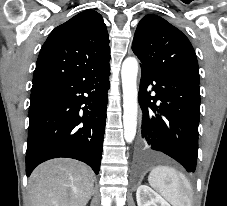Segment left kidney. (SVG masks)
I'll return each mask as SVG.
<instances>
[{
  "label": "left kidney",
  "mask_w": 227,
  "mask_h": 206,
  "mask_svg": "<svg viewBox=\"0 0 227 206\" xmlns=\"http://www.w3.org/2000/svg\"><path fill=\"white\" fill-rule=\"evenodd\" d=\"M138 206H170L158 193L147 185H140L136 193Z\"/></svg>",
  "instance_id": "5707ae66"
}]
</instances>
